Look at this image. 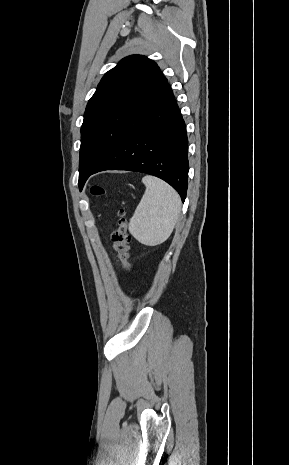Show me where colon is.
I'll list each match as a JSON object with an SVG mask.
<instances>
[{
  "label": "colon",
  "instance_id": "colon-1",
  "mask_svg": "<svg viewBox=\"0 0 289 465\" xmlns=\"http://www.w3.org/2000/svg\"><path fill=\"white\" fill-rule=\"evenodd\" d=\"M90 190L96 197H101L105 194L104 190L99 186H92ZM128 229L129 220L126 212L121 209L118 213L117 228L112 232L111 240L117 253V257L122 263L123 269L126 272H131L132 264L129 260L131 235L129 234Z\"/></svg>",
  "mask_w": 289,
  "mask_h": 465
}]
</instances>
